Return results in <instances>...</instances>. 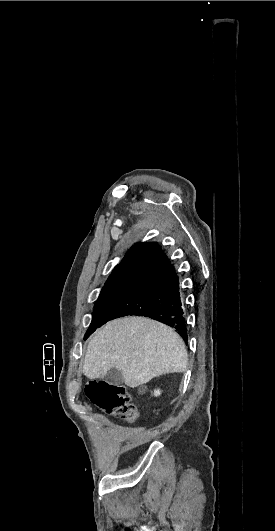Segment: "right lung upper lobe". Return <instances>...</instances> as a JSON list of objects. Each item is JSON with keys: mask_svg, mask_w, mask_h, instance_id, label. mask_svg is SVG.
<instances>
[{"mask_svg": "<svg viewBox=\"0 0 275 531\" xmlns=\"http://www.w3.org/2000/svg\"><path fill=\"white\" fill-rule=\"evenodd\" d=\"M163 251L157 243H138L134 245L122 261L113 269L112 274L128 270L146 269Z\"/></svg>", "mask_w": 275, "mask_h": 531, "instance_id": "cb5924a9", "label": "right lung upper lobe"}]
</instances>
